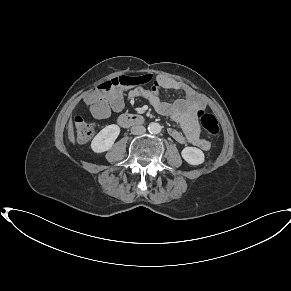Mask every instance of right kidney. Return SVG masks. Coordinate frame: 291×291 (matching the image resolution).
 I'll list each match as a JSON object with an SVG mask.
<instances>
[{
  "instance_id": "1",
  "label": "right kidney",
  "mask_w": 291,
  "mask_h": 291,
  "mask_svg": "<svg viewBox=\"0 0 291 291\" xmlns=\"http://www.w3.org/2000/svg\"><path fill=\"white\" fill-rule=\"evenodd\" d=\"M120 134V127L111 124L103 128L92 140L91 149L95 153L108 151Z\"/></svg>"
}]
</instances>
